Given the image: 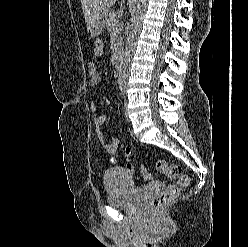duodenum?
Wrapping results in <instances>:
<instances>
[{
  "label": "duodenum",
  "instance_id": "duodenum-1",
  "mask_svg": "<svg viewBox=\"0 0 248 247\" xmlns=\"http://www.w3.org/2000/svg\"><path fill=\"white\" fill-rule=\"evenodd\" d=\"M123 61H124V53L122 51H120L117 53L116 59H115V65H116V69L118 71L122 70Z\"/></svg>",
  "mask_w": 248,
  "mask_h": 247
}]
</instances>
